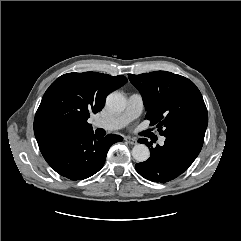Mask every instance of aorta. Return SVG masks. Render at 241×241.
Wrapping results in <instances>:
<instances>
[{
    "label": "aorta",
    "instance_id": "1",
    "mask_svg": "<svg viewBox=\"0 0 241 241\" xmlns=\"http://www.w3.org/2000/svg\"><path fill=\"white\" fill-rule=\"evenodd\" d=\"M107 107L113 112H122L126 108V99L119 92H112L106 98ZM132 156L138 162L146 161L150 156L145 144H137L132 148Z\"/></svg>",
    "mask_w": 241,
    "mask_h": 241
}]
</instances>
